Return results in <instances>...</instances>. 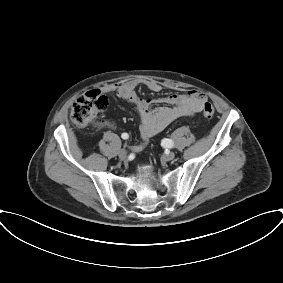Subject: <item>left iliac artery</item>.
<instances>
[{
    "label": "left iliac artery",
    "instance_id": "obj_1",
    "mask_svg": "<svg viewBox=\"0 0 283 283\" xmlns=\"http://www.w3.org/2000/svg\"><path fill=\"white\" fill-rule=\"evenodd\" d=\"M162 145L164 147L172 148L174 146V142L171 139L165 138L162 140Z\"/></svg>",
    "mask_w": 283,
    "mask_h": 283
}]
</instances>
